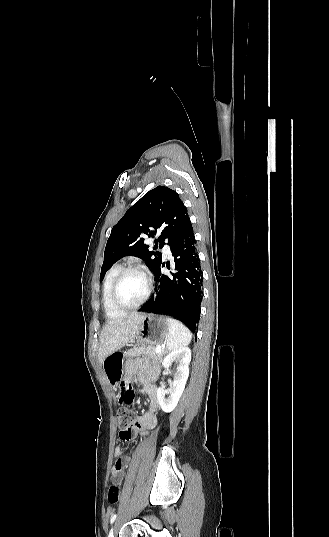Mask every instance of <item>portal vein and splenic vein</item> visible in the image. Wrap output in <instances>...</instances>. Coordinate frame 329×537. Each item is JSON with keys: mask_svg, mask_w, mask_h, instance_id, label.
<instances>
[{"mask_svg": "<svg viewBox=\"0 0 329 537\" xmlns=\"http://www.w3.org/2000/svg\"><path fill=\"white\" fill-rule=\"evenodd\" d=\"M156 352H157V353L162 352V347H161V346H157V347H156Z\"/></svg>", "mask_w": 329, "mask_h": 537, "instance_id": "1", "label": "portal vein and splenic vein"}]
</instances>
